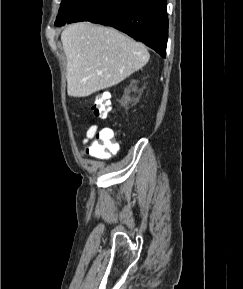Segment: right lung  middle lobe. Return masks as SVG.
Listing matches in <instances>:
<instances>
[{
    "instance_id": "1",
    "label": "right lung middle lobe",
    "mask_w": 243,
    "mask_h": 289,
    "mask_svg": "<svg viewBox=\"0 0 243 289\" xmlns=\"http://www.w3.org/2000/svg\"><path fill=\"white\" fill-rule=\"evenodd\" d=\"M82 0H62L59 14L56 18L55 24H58L70 17Z\"/></svg>"
}]
</instances>
